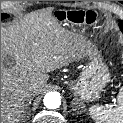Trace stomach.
<instances>
[{
  "instance_id": "stomach-1",
  "label": "stomach",
  "mask_w": 123,
  "mask_h": 123,
  "mask_svg": "<svg viewBox=\"0 0 123 123\" xmlns=\"http://www.w3.org/2000/svg\"><path fill=\"white\" fill-rule=\"evenodd\" d=\"M53 17L60 23H65L73 29L85 28L89 24L86 12L80 10L58 9ZM88 62L77 80L68 83L69 89L84 101H95L103 87L110 82V73L101 55L96 49L88 48L85 51Z\"/></svg>"
}]
</instances>
